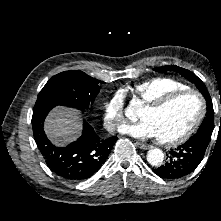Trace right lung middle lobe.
<instances>
[{
	"label": "right lung middle lobe",
	"mask_w": 221,
	"mask_h": 221,
	"mask_svg": "<svg viewBox=\"0 0 221 221\" xmlns=\"http://www.w3.org/2000/svg\"><path fill=\"white\" fill-rule=\"evenodd\" d=\"M100 80L82 71H65L53 76L43 87L36 102H51L84 112L100 91Z\"/></svg>",
	"instance_id": "1"
}]
</instances>
